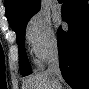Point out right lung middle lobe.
Wrapping results in <instances>:
<instances>
[{"mask_svg":"<svg viewBox=\"0 0 89 89\" xmlns=\"http://www.w3.org/2000/svg\"><path fill=\"white\" fill-rule=\"evenodd\" d=\"M30 18L19 22L13 28L17 35L18 50H19V67H20L21 75L23 76H27L32 73L31 66L28 62V58L24 46L25 29Z\"/></svg>","mask_w":89,"mask_h":89,"instance_id":"dd1d6c3e","label":"right lung middle lobe"}]
</instances>
